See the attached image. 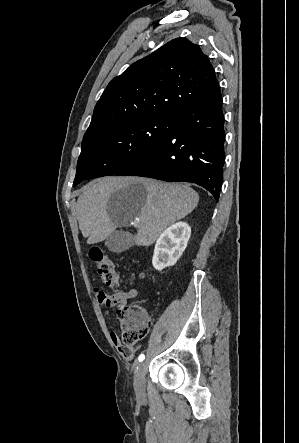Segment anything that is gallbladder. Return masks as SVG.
<instances>
[{"instance_id":"gallbladder-1","label":"gallbladder","mask_w":299,"mask_h":443,"mask_svg":"<svg viewBox=\"0 0 299 443\" xmlns=\"http://www.w3.org/2000/svg\"><path fill=\"white\" fill-rule=\"evenodd\" d=\"M105 245L110 251L121 253L132 246V235L125 231H114L107 237Z\"/></svg>"}]
</instances>
